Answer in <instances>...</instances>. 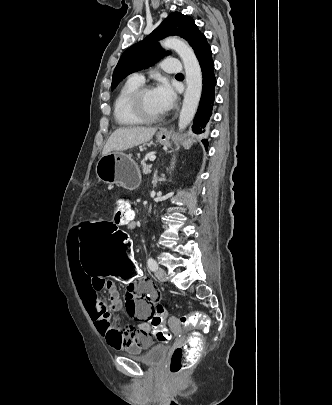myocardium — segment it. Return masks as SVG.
I'll use <instances>...</instances> for the list:
<instances>
[{"instance_id":"1","label":"myocardium","mask_w":332,"mask_h":405,"mask_svg":"<svg viewBox=\"0 0 332 405\" xmlns=\"http://www.w3.org/2000/svg\"><path fill=\"white\" fill-rule=\"evenodd\" d=\"M150 90H153L152 86L150 85L141 86L133 93L130 99V110L132 114L142 123H154L163 119L164 117V115L151 116L145 111L143 97Z\"/></svg>"}]
</instances>
